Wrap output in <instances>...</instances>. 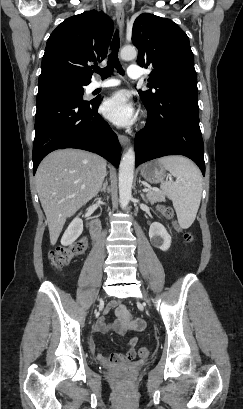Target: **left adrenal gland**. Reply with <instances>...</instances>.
<instances>
[{"label":"left adrenal gland","instance_id":"a2214340","mask_svg":"<svg viewBox=\"0 0 243 409\" xmlns=\"http://www.w3.org/2000/svg\"><path fill=\"white\" fill-rule=\"evenodd\" d=\"M139 193H140L141 198L145 200V196H144V194H143V193H141V191H140V190H139Z\"/></svg>","mask_w":243,"mask_h":409}]
</instances>
